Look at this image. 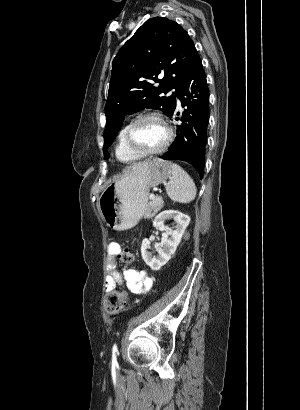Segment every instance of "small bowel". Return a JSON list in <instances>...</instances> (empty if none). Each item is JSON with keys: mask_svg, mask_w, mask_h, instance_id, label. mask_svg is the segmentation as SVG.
Listing matches in <instances>:
<instances>
[{"mask_svg": "<svg viewBox=\"0 0 300 410\" xmlns=\"http://www.w3.org/2000/svg\"><path fill=\"white\" fill-rule=\"evenodd\" d=\"M119 244L111 243L108 246V259L106 261L107 278L105 290L111 291L118 285H125L134 294H144L150 290L153 281L145 270H133L126 267H118L115 255L119 252Z\"/></svg>", "mask_w": 300, "mask_h": 410, "instance_id": "c3829d8e", "label": "small bowel"}]
</instances>
